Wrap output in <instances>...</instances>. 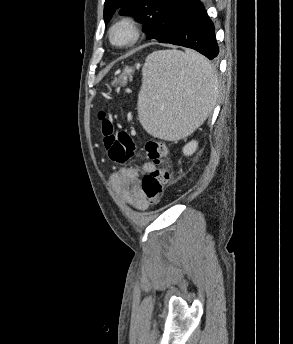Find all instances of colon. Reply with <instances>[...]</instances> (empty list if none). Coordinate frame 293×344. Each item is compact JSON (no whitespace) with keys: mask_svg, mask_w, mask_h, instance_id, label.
<instances>
[{"mask_svg":"<svg viewBox=\"0 0 293 344\" xmlns=\"http://www.w3.org/2000/svg\"><path fill=\"white\" fill-rule=\"evenodd\" d=\"M102 125V137L105 150L111 162L123 165L133 156L135 143L126 131H117L115 124L105 112H100ZM145 151L155 168L147 173L141 181V191L151 205L157 204L163 194L165 185L170 180V172L167 167V145L159 140H149Z\"/></svg>","mask_w":293,"mask_h":344,"instance_id":"colon-1","label":"colon"}]
</instances>
